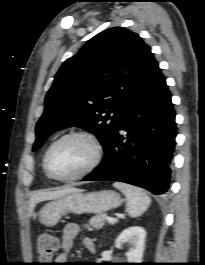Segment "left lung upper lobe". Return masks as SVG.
<instances>
[{"mask_svg": "<svg viewBox=\"0 0 205 265\" xmlns=\"http://www.w3.org/2000/svg\"><path fill=\"white\" fill-rule=\"evenodd\" d=\"M156 64L150 47L130 30L114 27L94 36L56 74L36 125L33 151L50 134L70 126L95 134L105 151L121 111Z\"/></svg>", "mask_w": 205, "mask_h": 265, "instance_id": "obj_1", "label": "left lung upper lobe"}]
</instances>
